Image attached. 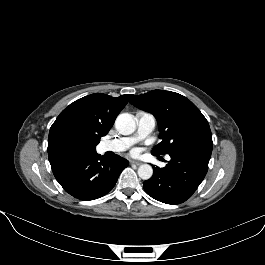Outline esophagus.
<instances>
[{
  "instance_id": "34e87169",
  "label": "esophagus",
  "mask_w": 265,
  "mask_h": 265,
  "mask_svg": "<svg viewBox=\"0 0 265 265\" xmlns=\"http://www.w3.org/2000/svg\"><path fill=\"white\" fill-rule=\"evenodd\" d=\"M130 164H134V165L139 166V165H141L142 163L139 162V161H130Z\"/></svg>"
}]
</instances>
